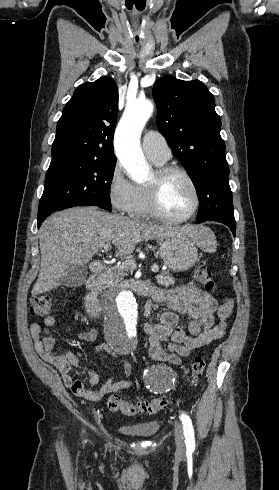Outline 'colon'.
<instances>
[{"mask_svg":"<svg viewBox=\"0 0 279 490\" xmlns=\"http://www.w3.org/2000/svg\"><path fill=\"white\" fill-rule=\"evenodd\" d=\"M194 276L203 289L212 291L215 289V282L211 271L205 261L197 264L194 270ZM53 300L48 294L35 296L31 302V313L35 316L46 317L53 311ZM205 370V360L202 357H196L191 364V379L196 383ZM107 408L110 411L118 412L126 416L152 415L169 405L166 397L155 398L152 400L128 402L116 393L110 394L106 401Z\"/></svg>","mask_w":279,"mask_h":490,"instance_id":"obj_1","label":"colon"}]
</instances>
